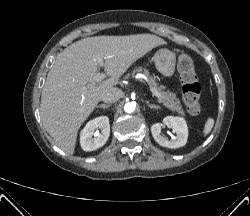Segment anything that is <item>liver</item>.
Listing matches in <instances>:
<instances>
[{
    "label": "liver",
    "instance_id": "obj_1",
    "mask_svg": "<svg viewBox=\"0 0 250 216\" xmlns=\"http://www.w3.org/2000/svg\"><path fill=\"white\" fill-rule=\"evenodd\" d=\"M166 42L152 34L95 36L81 39L58 54L42 90L40 114L46 131L63 151L73 154L77 133L104 91L138 59ZM109 79L96 82L100 64Z\"/></svg>",
    "mask_w": 250,
    "mask_h": 216
}]
</instances>
